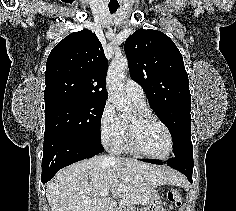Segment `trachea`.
I'll return each mask as SVG.
<instances>
[{
	"label": "trachea",
	"mask_w": 236,
	"mask_h": 211,
	"mask_svg": "<svg viewBox=\"0 0 236 211\" xmlns=\"http://www.w3.org/2000/svg\"><path fill=\"white\" fill-rule=\"evenodd\" d=\"M117 9H118L117 6H115V7H110L109 6V11H110L111 14L115 13L117 11Z\"/></svg>",
	"instance_id": "trachea-1"
}]
</instances>
